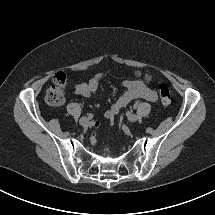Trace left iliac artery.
Masks as SVG:
<instances>
[{"label":"left iliac artery","instance_id":"left-iliac-artery-1","mask_svg":"<svg viewBox=\"0 0 215 215\" xmlns=\"http://www.w3.org/2000/svg\"><path fill=\"white\" fill-rule=\"evenodd\" d=\"M138 106H139V103L136 102V103L134 104L133 108L136 109V108H138Z\"/></svg>","mask_w":215,"mask_h":215}]
</instances>
